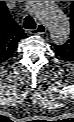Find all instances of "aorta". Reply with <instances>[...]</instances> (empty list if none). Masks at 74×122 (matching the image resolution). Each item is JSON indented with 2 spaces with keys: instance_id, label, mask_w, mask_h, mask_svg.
I'll use <instances>...</instances> for the list:
<instances>
[{
  "instance_id": "aorta-1",
  "label": "aorta",
  "mask_w": 74,
  "mask_h": 122,
  "mask_svg": "<svg viewBox=\"0 0 74 122\" xmlns=\"http://www.w3.org/2000/svg\"><path fill=\"white\" fill-rule=\"evenodd\" d=\"M27 9L46 25L53 44L63 45L70 37L68 17L54 1H27Z\"/></svg>"
}]
</instances>
